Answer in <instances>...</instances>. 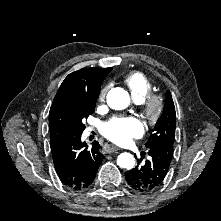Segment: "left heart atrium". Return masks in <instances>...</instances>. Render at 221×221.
I'll list each match as a JSON object with an SVG mask.
<instances>
[{"instance_id": "39dd6f15", "label": "left heart atrium", "mask_w": 221, "mask_h": 221, "mask_svg": "<svg viewBox=\"0 0 221 221\" xmlns=\"http://www.w3.org/2000/svg\"><path fill=\"white\" fill-rule=\"evenodd\" d=\"M143 132L144 128L141 121L132 116L114 117L102 127V134L119 145L127 144L133 138L142 136Z\"/></svg>"}]
</instances>
